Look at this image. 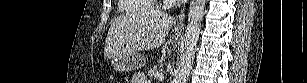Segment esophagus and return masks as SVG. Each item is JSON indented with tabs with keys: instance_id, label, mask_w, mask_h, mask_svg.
I'll return each instance as SVG.
<instances>
[{
	"instance_id": "obj_1",
	"label": "esophagus",
	"mask_w": 307,
	"mask_h": 83,
	"mask_svg": "<svg viewBox=\"0 0 307 83\" xmlns=\"http://www.w3.org/2000/svg\"><path fill=\"white\" fill-rule=\"evenodd\" d=\"M185 10L186 8H183L179 14V16L177 17V28L179 29H184L185 27Z\"/></svg>"
}]
</instances>
